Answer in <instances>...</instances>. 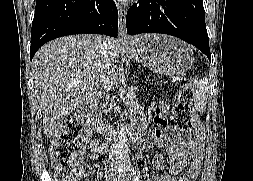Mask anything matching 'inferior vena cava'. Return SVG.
I'll return each instance as SVG.
<instances>
[{
  "label": "inferior vena cava",
  "mask_w": 253,
  "mask_h": 181,
  "mask_svg": "<svg viewBox=\"0 0 253 181\" xmlns=\"http://www.w3.org/2000/svg\"><path fill=\"white\" fill-rule=\"evenodd\" d=\"M113 49V45L111 44L110 40L107 38L102 39V55H103V61L106 64L105 67L109 68V55L111 54V51ZM111 73V72H110ZM112 82L109 80V77L104 81V88L109 90L111 87Z\"/></svg>",
  "instance_id": "602c4592"
}]
</instances>
